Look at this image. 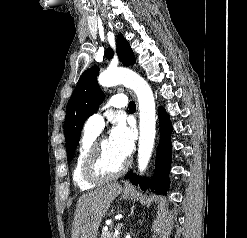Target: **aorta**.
<instances>
[{"label": "aorta", "mask_w": 247, "mask_h": 238, "mask_svg": "<svg viewBox=\"0 0 247 238\" xmlns=\"http://www.w3.org/2000/svg\"><path fill=\"white\" fill-rule=\"evenodd\" d=\"M98 82L103 87L123 84L137 95L140 111L138 168L140 173H143L148 166L156 134V110L153 92L140 75L125 68L104 71L99 75Z\"/></svg>", "instance_id": "aorta-1"}]
</instances>
